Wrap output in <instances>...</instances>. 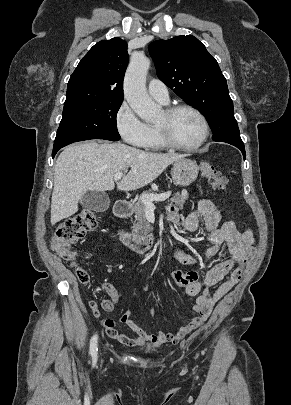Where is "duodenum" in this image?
Segmentation results:
<instances>
[{"label": "duodenum", "mask_w": 291, "mask_h": 405, "mask_svg": "<svg viewBox=\"0 0 291 405\" xmlns=\"http://www.w3.org/2000/svg\"><path fill=\"white\" fill-rule=\"evenodd\" d=\"M115 216L118 220H123L131 213V204L125 200H119L114 208ZM118 234L121 241L130 249L138 253H145L153 246L154 240L150 235H135L121 225L118 226Z\"/></svg>", "instance_id": "duodenum-1"}]
</instances>
